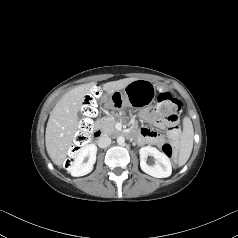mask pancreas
I'll return each instance as SVG.
<instances>
[{"label": "pancreas", "mask_w": 238, "mask_h": 238, "mask_svg": "<svg viewBox=\"0 0 238 238\" xmlns=\"http://www.w3.org/2000/svg\"><path fill=\"white\" fill-rule=\"evenodd\" d=\"M96 128L101 129L105 133L112 134L116 131L115 121L111 117H103L96 121Z\"/></svg>", "instance_id": "1"}]
</instances>
